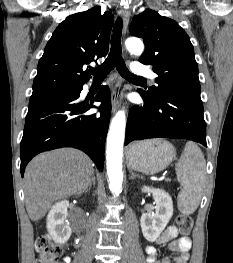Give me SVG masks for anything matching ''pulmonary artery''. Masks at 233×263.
<instances>
[{"mask_svg": "<svg viewBox=\"0 0 233 263\" xmlns=\"http://www.w3.org/2000/svg\"><path fill=\"white\" fill-rule=\"evenodd\" d=\"M131 70L132 73L137 76H147L152 79L156 78V74L149 67L140 62H134Z\"/></svg>", "mask_w": 233, "mask_h": 263, "instance_id": "pulmonary-artery-1", "label": "pulmonary artery"}]
</instances>
